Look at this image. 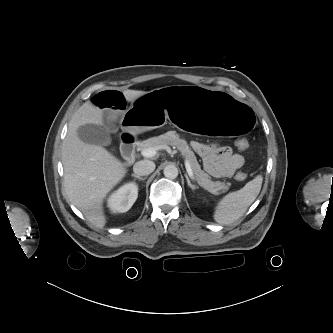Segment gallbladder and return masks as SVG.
Segmentation results:
<instances>
[{"mask_svg":"<svg viewBox=\"0 0 333 333\" xmlns=\"http://www.w3.org/2000/svg\"><path fill=\"white\" fill-rule=\"evenodd\" d=\"M79 138L88 144L108 146L111 143V138L108 131L98 125L86 124L80 126L77 130Z\"/></svg>","mask_w":333,"mask_h":333,"instance_id":"bac80fb5","label":"gallbladder"}]
</instances>
